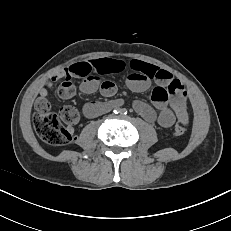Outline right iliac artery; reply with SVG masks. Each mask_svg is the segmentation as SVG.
I'll return each mask as SVG.
<instances>
[{
  "instance_id": "right-iliac-artery-1",
  "label": "right iliac artery",
  "mask_w": 231,
  "mask_h": 231,
  "mask_svg": "<svg viewBox=\"0 0 231 231\" xmlns=\"http://www.w3.org/2000/svg\"><path fill=\"white\" fill-rule=\"evenodd\" d=\"M119 112H120V109H119V108H115V109H114V113H115V114H118Z\"/></svg>"
}]
</instances>
